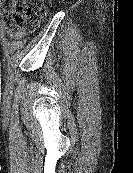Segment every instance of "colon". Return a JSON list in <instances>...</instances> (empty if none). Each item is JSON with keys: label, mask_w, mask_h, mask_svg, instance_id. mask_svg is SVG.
<instances>
[{"label": "colon", "mask_w": 133, "mask_h": 173, "mask_svg": "<svg viewBox=\"0 0 133 173\" xmlns=\"http://www.w3.org/2000/svg\"><path fill=\"white\" fill-rule=\"evenodd\" d=\"M4 19L12 35L32 32L45 15L44 0H1Z\"/></svg>", "instance_id": "obj_1"}]
</instances>
